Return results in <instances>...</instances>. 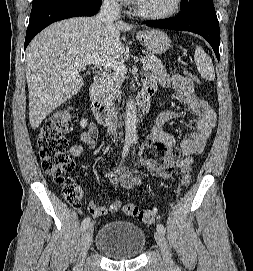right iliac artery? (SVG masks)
I'll use <instances>...</instances> for the list:
<instances>
[{"label":"right iliac artery","mask_w":253,"mask_h":271,"mask_svg":"<svg viewBox=\"0 0 253 271\" xmlns=\"http://www.w3.org/2000/svg\"><path fill=\"white\" fill-rule=\"evenodd\" d=\"M129 148H130V142H126L123 148L121 162H123L125 157L128 155ZM89 223H90V218L89 217L85 218L81 223V230H84L89 225Z\"/></svg>","instance_id":"obj_1"}]
</instances>
